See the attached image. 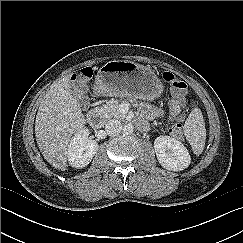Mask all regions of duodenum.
<instances>
[{
  "label": "duodenum",
  "mask_w": 243,
  "mask_h": 243,
  "mask_svg": "<svg viewBox=\"0 0 243 243\" xmlns=\"http://www.w3.org/2000/svg\"><path fill=\"white\" fill-rule=\"evenodd\" d=\"M87 122L90 126L92 127H99L102 124V116L100 114V112L96 109H91L88 113H87ZM138 126L140 129L142 130H146L147 129V124L142 121V120H138L137 121Z\"/></svg>",
  "instance_id": "410a0bca"
}]
</instances>
